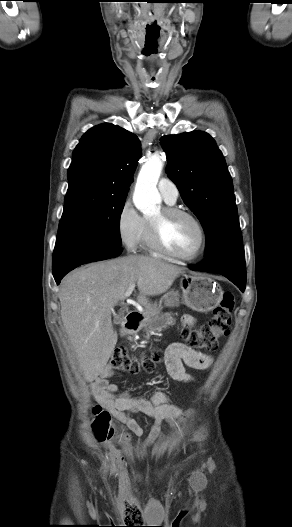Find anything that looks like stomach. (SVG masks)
I'll return each mask as SVG.
<instances>
[{
    "mask_svg": "<svg viewBox=\"0 0 292 527\" xmlns=\"http://www.w3.org/2000/svg\"><path fill=\"white\" fill-rule=\"evenodd\" d=\"M178 290H171L163 297L164 304L168 307H177L180 303L185 304L197 312H209L216 308L222 299V289L211 278L201 275L183 274L180 279ZM161 306L157 303L149 304L145 311V323L157 316Z\"/></svg>",
    "mask_w": 292,
    "mask_h": 527,
    "instance_id": "1",
    "label": "stomach"
}]
</instances>
